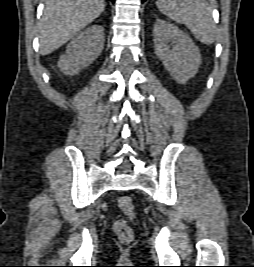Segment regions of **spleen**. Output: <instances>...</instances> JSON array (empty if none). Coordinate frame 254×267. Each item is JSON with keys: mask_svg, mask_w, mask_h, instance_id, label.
Here are the masks:
<instances>
[{"mask_svg": "<svg viewBox=\"0 0 254 267\" xmlns=\"http://www.w3.org/2000/svg\"><path fill=\"white\" fill-rule=\"evenodd\" d=\"M160 12L179 24H185L200 42L215 41L216 26L206 0H157Z\"/></svg>", "mask_w": 254, "mask_h": 267, "instance_id": "3e777b00", "label": "spleen"}]
</instances>
